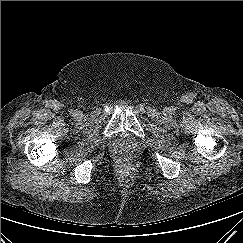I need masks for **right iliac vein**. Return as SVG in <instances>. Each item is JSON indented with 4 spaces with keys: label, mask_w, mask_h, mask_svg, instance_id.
I'll list each match as a JSON object with an SVG mask.
<instances>
[{
    "label": "right iliac vein",
    "mask_w": 243,
    "mask_h": 243,
    "mask_svg": "<svg viewBox=\"0 0 243 243\" xmlns=\"http://www.w3.org/2000/svg\"><path fill=\"white\" fill-rule=\"evenodd\" d=\"M82 115H83V113H82L81 111H77V112H76V117H77V118L82 117Z\"/></svg>",
    "instance_id": "right-iliac-vein-1"
}]
</instances>
